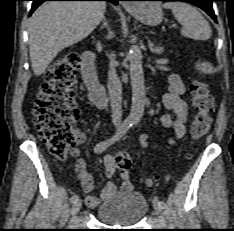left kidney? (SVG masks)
Wrapping results in <instances>:
<instances>
[{"mask_svg":"<svg viewBox=\"0 0 234 231\" xmlns=\"http://www.w3.org/2000/svg\"><path fill=\"white\" fill-rule=\"evenodd\" d=\"M195 67L197 70H200L201 72H203L205 74L214 73L216 71V69H214L212 67V65L210 63H207V62H203V63L198 62L195 65Z\"/></svg>","mask_w":234,"mask_h":231,"instance_id":"left-kidney-1","label":"left kidney"}]
</instances>
